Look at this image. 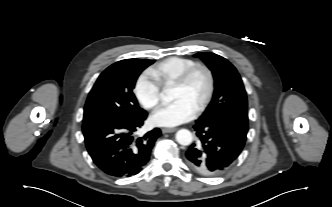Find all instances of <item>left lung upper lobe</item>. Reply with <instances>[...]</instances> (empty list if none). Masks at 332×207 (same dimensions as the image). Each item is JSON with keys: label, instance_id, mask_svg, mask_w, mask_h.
<instances>
[{"label": "left lung upper lobe", "instance_id": "5c2ea615", "mask_svg": "<svg viewBox=\"0 0 332 207\" xmlns=\"http://www.w3.org/2000/svg\"><path fill=\"white\" fill-rule=\"evenodd\" d=\"M214 76L213 98L200 121H211L221 116L247 114V96L241 77L236 68L225 58L214 53H197Z\"/></svg>", "mask_w": 332, "mask_h": 207}]
</instances>
